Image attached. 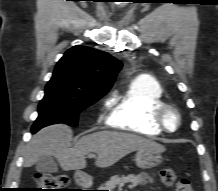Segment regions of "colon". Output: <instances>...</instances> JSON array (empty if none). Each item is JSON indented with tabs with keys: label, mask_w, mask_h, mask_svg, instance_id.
I'll return each mask as SVG.
<instances>
[{
	"label": "colon",
	"mask_w": 218,
	"mask_h": 191,
	"mask_svg": "<svg viewBox=\"0 0 218 191\" xmlns=\"http://www.w3.org/2000/svg\"><path fill=\"white\" fill-rule=\"evenodd\" d=\"M160 179L164 185L173 187L175 191H194L187 178L178 177L172 168L160 170ZM68 179L64 175L39 173L35 176V187L28 191H66Z\"/></svg>",
	"instance_id": "obj_1"
}]
</instances>
